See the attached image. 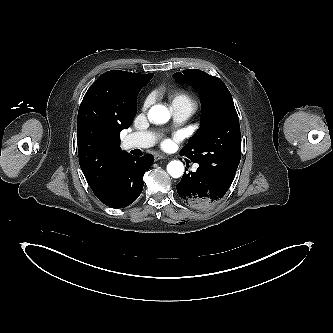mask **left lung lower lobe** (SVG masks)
<instances>
[{
  "instance_id": "1",
  "label": "left lung lower lobe",
  "mask_w": 333,
  "mask_h": 333,
  "mask_svg": "<svg viewBox=\"0 0 333 333\" xmlns=\"http://www.w3.org/2000/svg\"><path fill=\"white\" fill-rule=\"evenodd\" d=\"M176 188L181 200L198 210L212 208L229 189L200 167L196 172L184 174Z\"/></svg>"
}]
</instances>
